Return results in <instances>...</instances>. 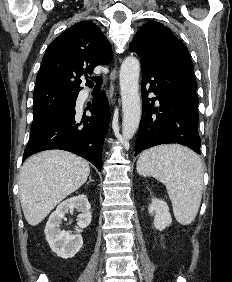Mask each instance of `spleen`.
<instances>
[{
  "label": "spleen",
  "instance_id": "spleen-1",
  "mask_svg": "<svg viewBox=\"0 0 232 282\" xmlns=\"http://www.w3.org/2000/svg\"><path fill=\"white\" fill-rule=\"evenodd\" d=\"M137 171L164 183L177 221L190 224L196 217L202 198L203 166L191 150L179 145H163L144 151Z\"/></svg>",
  "mask_w": 232,
  "mask_h": 282
}]
</instances>
